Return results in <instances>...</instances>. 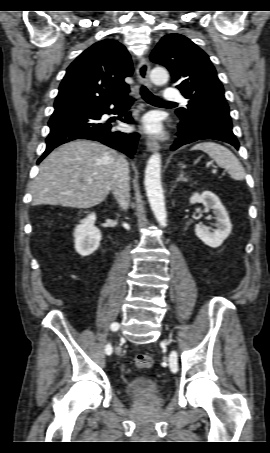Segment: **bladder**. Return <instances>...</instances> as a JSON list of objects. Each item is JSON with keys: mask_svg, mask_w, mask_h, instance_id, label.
<instances>
[{"mask_svg": "<svg viewBox=\"0 0 270 453\" xmlns=\"http://www.w3.org/2000/svg\"><path fill=\"white\" fill-rule=\"evenodd\" d=\"M125 392L130 397L158 398L161 387L154 380L140 376L127 382Z\"/></svg>", "mask_w": 270, "mask_h": 453, "instance_id": "bladder-1", "label": "bladder"}]
</instances>
